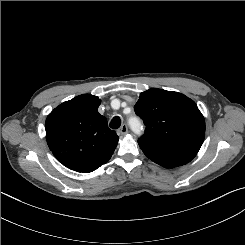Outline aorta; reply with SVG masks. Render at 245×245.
Wrapping results in <instances>:
<instances>
[{
	"label": "aorta",
	"instance_id": "762f6f07",
	"mask_svg": "<svg viewBox=\"0 0 245 245\" xmlns=\"http://www.w3.org/2000/svg\"><path fill=\"white\" fill-rule=\"evenodd\" d=\"M130 127L134 133L140 134L142 130V126L139 120L134 119L130 121Z\"/></svg>",
	"mask_w": 245,
	"mask_h": 245
}]
</instances>
